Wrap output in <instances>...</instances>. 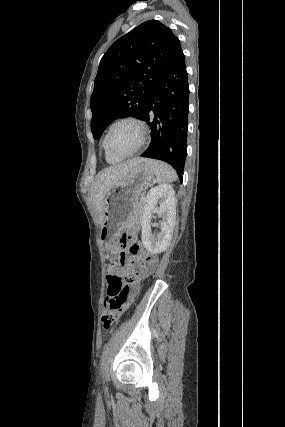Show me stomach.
Wrapping results in <instances>:
<instances>
[{"label":"stomach","instance_id":"obj_1","mask_svg":"<svg viewBox=\"0 0 285 427\" xmlns=\"http://www.w3.org/2000/svg\"><path fill=\"white\" fill-rule=\"evenodd\" d=\"M153 180V171L141 163L132 168L126 178L106 193L104 220L100 230L103 244H108L129 221L135 218L137 200Z\"/></svg>","mask_w":285,"mask_h":427}]
</instances>
